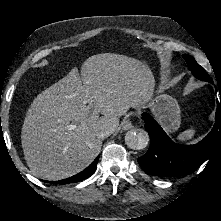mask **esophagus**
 Returning <instances> with one entry per match:
<instances>
[{
  "instance_id": "esophagus-1",
  "label": "esophagus",
  "mask_w": 221,
  "mask_h": 221,
  "mask_svg": "<svg viewBox=\"0 0 221 221\" xmlns=\"http://www.w3.org/2000/svg\"><path fill=\"white\" fill-rule=\"evenodd\" d=\"M122 128H123V130H129V129L133 128V124L129 119H126L122 123Z\"/></svg>"
}]
</instances>
